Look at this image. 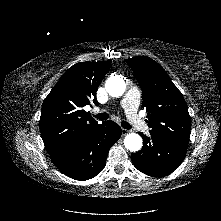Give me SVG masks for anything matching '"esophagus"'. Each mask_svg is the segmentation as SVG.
<instances>
[{
  "label": "esophagus",
  "instance_id": "34e87169",
  "mask_svg": "<svg viewBox=\"0 0 221 221\" xmlns=\"http://www.w3.org/2000/svg\"><path fill=\"white\" fill-rule=\"evenodd\" d=\"M129 132H130V130L122 128V135L125 136V135H127Z\"/></svg>",
  "mask_w": 221,
  "mask_h": 221
}]
</instances>
